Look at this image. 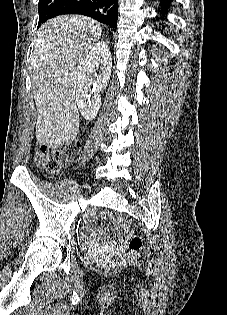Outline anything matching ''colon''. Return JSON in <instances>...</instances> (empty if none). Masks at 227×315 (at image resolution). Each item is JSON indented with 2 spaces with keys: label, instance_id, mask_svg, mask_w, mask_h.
Listing matches in <instances>:
<instances>
[{
  "label": "colon",
  "instance_id": "5ec220e1",
  "mask_svg": "<svg viewBox=\"0 0 227 315\" xmlns=\"http://www.w3.org/2000/svg\"><path fill=\"white\" fill-rule=\"evenodd\" d=\"M80 143L72 140L61 146L40 145L36 152V162L49 172H56L72 160L79 152ZM113 221L116 225L124 227L129 233L128 248L123 254H116L101 262L102 269H108L122 264L126 260L137 257L142 249V239L130 233L129 222L126 218L115 215Z\"/></svg>",
  "mask_w": 227,
  "mask_h": 315
}]
</instances>
